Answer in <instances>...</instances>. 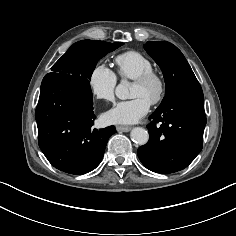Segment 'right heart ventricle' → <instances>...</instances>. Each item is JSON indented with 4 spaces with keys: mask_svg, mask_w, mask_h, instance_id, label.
Segmentation results:
<instances>
[{
    "mask_svg": "<svg viewBox=\"0 0 236 236\" xmlns=\"http://www.w3.org/2000/svg\"><path fill=\"white\" fill-rule=\"evenodd\" d=\"M118 74L123 79H135L153 69V62L143 53L135 50L123 52L115 57Z\"/></svg>",
    "mask_w": 236,
    "mask_h": 236,
    "instance_id": "1",
    "label": "right heart ventricle"
}]
</instances>
